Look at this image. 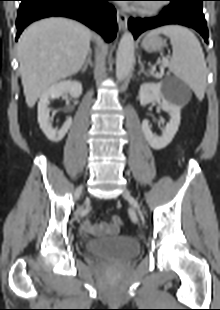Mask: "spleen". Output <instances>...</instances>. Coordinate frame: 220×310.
Listing matches in <instances>:
<instances>
[{"label": "spleen", "mask_w": 220, "mask_h": 310, "mask_svg": "<svg viewBox=\"0 0 220 310\" xmlns=\"http://www.w3.org/2000/svg\"><path fill=\"white\" fill-rule=\"evenodd\" d=\"M164 34L170 38L173 55L169 69L184 81L199 100L206 90V61L197 37L189 29L179 25H167L149 32L148 36Z\"/></svg>", "instance_id": "obj_1"}]
</instances>
